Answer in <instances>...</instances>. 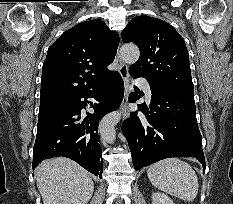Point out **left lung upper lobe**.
Here are the masks:
<instances>
[{"mask_svg": "<svg viewBox=\"0 0 233 204\" xmlns=\"http://www.w3.org/2000/svg\"><path fill=\"white\" fill-rule=\"evenodd\" d=\"M125 43L140 49L129 73L144 77L154 89L194 94L189 55L183 38L168 23L157 18H133L122 31Z\"/></svg>", "mask_w": 233, "mask_h": 204, "instance_id": "1", "label": "left lung upper lobe"}]
</instances>
